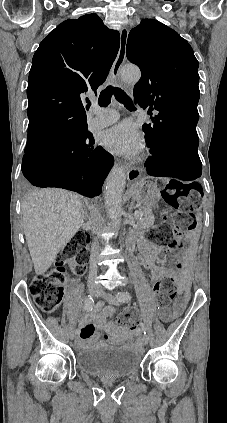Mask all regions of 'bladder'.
Returning a JSON list of instances; mask_svg holds the SVG:
<instances>
[{"mask_svg": "<svg viewBox=\"0 0 227 423\" xmlns=\"http://www.w3.org/2000/svg\"><path fill=\"white\" fill-rule=\"evenodd\" d=\"M142 350L122 346L87 349L75 355L74 364L85 375L101 380L131 378L141 367Z\"/></svg>", "mask_w": 227, "mask_h": 423, "instance_id": "1", "label": "bladder"}]
</instances>
